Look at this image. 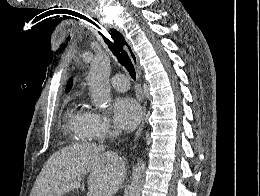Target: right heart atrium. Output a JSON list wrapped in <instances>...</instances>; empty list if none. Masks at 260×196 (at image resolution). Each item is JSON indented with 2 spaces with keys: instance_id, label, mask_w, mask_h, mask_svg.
Wrapping results in <instances>:
<instances>
[{
  "instance_id": "d8ad5b80",
  "label": "right heart atrium",
  "mask_w": 260,
  "mask_h": 196,
  "mask_svg": "<svg viewBox=\"0 0 260 196\" xmlns=\"http://www.w3.org/2000/svg\"><path fill=\"white\" fill-rule=\"evenodd\" d=\"M86 127L88 129H93V130L111 129L109 119L104 114L96 111L88 112L86 117Z\"/></svg>"
}]
</instances>
